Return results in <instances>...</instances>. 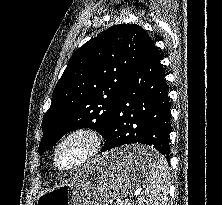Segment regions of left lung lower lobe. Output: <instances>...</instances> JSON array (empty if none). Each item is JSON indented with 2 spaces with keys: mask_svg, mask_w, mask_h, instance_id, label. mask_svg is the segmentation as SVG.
Here are the masks:
<instances>
[{
  "mask_svg": "<svg viewBox=\"0 0 222 205\" xmlns=\"http://www.w3.org/2000/svg\"><path fill=\"white\" fill-rule=\"evenodd\" d=\"M163 65L149 39L126 79L102 152L125 144L152 145L169 160L170 103ZM149 157L139 159L148 165Z\"/></svg>",
  "mask_w": 222,
  "mask_h": 205,
  "instance_id": "0a47b994",
  "label": "left lung lower lobe"
}]
</instances>
